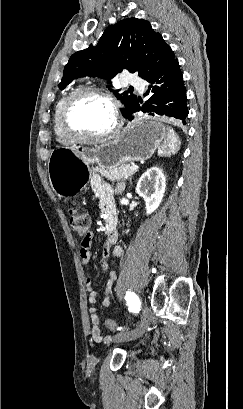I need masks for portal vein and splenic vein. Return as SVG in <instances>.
<instances>
[{"label":"portal vein and splenic vein","instance_id":"18ae733b","mask_svg":"<svg viewBox=\"0 0 243 409\" xmlns=\"http://www.w3.org/2000/svg\"><path fill=\"white\" fill-rule=\"evenodd\" d=\"M130 169H133V170H138V169H139V167H138L137 165H132V166H130Z\"/></svg>","mask_w":243,"mask_h":409}]
</instances>
